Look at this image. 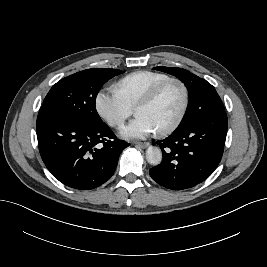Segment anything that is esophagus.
<instances>
[{
  "label": "esophagus",
  "instance_id": "esophagus-1",
  "mask_svg": "<svg viewBox=\"0 0 267 267\" xmlns=\"http://www.w3.org/2000/svg\"><path fill=\"white\" fill-rule=\"evenodd\" d=\"M136 146L137 147H140V148H146L149 146V143L147 142H144V143H136Z\"/></svg>",
  "mask_w": 267,
  "mask_h": 267
}]
</instances>
